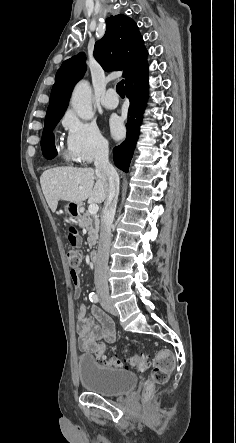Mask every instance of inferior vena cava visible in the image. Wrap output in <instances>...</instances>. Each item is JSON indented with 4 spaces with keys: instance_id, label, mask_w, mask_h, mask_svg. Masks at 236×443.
I'll use <instances>...</instances> for the list:
<instances>
[{
    "instance_id": "602c4592",
    "label": "inferior vena cava",
    "mask_w": 236,
    "mask_h": 443,
    "mask_svg": "<svg viewBox=\"0 0 236 443\" xmlns=\"http://www.w3.org/2000/svg\"><path fill=\"white\" fill-rule=\"evenodd\" d=\"M94 165L96 173L102 178L107 187V197L102 210L94 281L101 304H109L111 299L109 297L107 270L111 243V225L114 220L119 195V176L115 168L109 162V147L107 140L103 141L101 147L97 151Z\"/></svg>"
}]
</instances>
